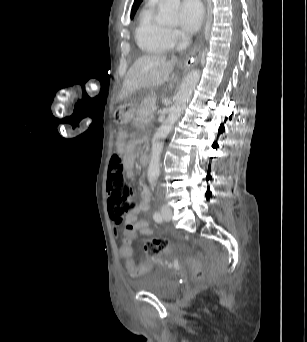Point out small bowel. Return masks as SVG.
I'll return each instance as SVG.
<instances>
[{
    "instance_id": "obj_1",
    "label": "small bowel",
    "mask_w": 307,
    "mask_h": 342,
    "mask_svg": "<svg viewBox=\"0 0 307 342\" xmlns=\"http://www.w3.org/2000/svg\"><path fill=\"white\" fill-rule=\"evenodd\" d=\"M125 167L128 173L132 174L133 161L130 155L125 158ZM150 204V193L147 187H143L141 192V202L136 206L126 217V225H138L140 232H146V235H151L153 233L152 229L149 227L145 220L138 219V215L141 212L146 211ZM123 240V239H122Z\"/></svg>"
}]
</instances>
